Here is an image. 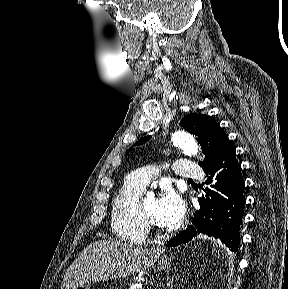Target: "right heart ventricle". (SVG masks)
I'll use <instances>...</instances> for the list:
<instances>
[{
	"instance_id": "right-heart-ventricle-1",
	"label": "right heart ventricle",
	"mask_w": 288,
	"mask_h": 289,
	"mask_svg": "<svg viewBox=\"0 0 288 289\" xmlns=\"http://www.w3.org/2000/svg\"><path fill=\"white\" fill-rule=\"evenodd\" d=\"M144 188L127 179L112 200L111 229L114 236L129 245H141L146 241L147 231L138 223L136 204Z\"/></svg>"
}]
</instances>
